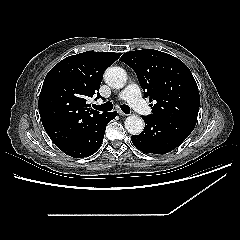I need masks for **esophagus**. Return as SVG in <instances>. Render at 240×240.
<instances>
[{"instance_id":"34e87169","label":"esophagus","mask_w":240,"mask_h":240,"mask_svg":"<svg viewBox=\"0 0 240 240\" xmlns=\"http://www.w3.org/2000/svg\"><path fill=\"white\" fill-rule=\"evenodd\" d=\"M118 114H119L120 116H122V117H126V116H127V114L124 113V112H122L121 110L118 111Z\"/></svg>"}]
</instances>
